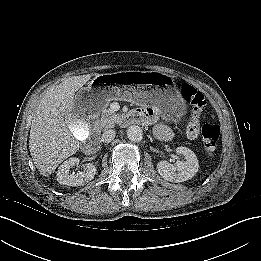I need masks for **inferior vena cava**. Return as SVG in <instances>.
<instances>
[{"label": "inferior vena cava", "mask_w": 261, "mask_h": 261, "mask_svg": "<svg viewBox=\"0 0 261 261\" xmlns=\"http://www.w3.org/2000/svg\"><path fill=\"white\" fill-rule=\"evenodd\" d=\"M115 134L116 132L113 129L106 130L101 136V141L105 143L111 142L115 138Z\"/></svg>", "instance_id": "1"}]
</instances>
